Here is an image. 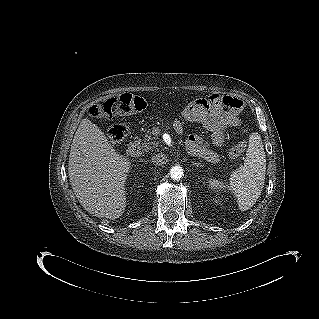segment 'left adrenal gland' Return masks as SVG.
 I'll use <instances>...</instances> for the list:
<instances>
[{
  "label": "left adrenal gland",
  "mask_w": 319,
  "mask_h": 319,
  "mask_svg": "<svg viewBox=\"0 0 319 319\" xmlns=\"http://www.w3.org/2000/svg\"><path fill=\"white\" fill-rule=\"evenodd\" d=\"M192 165H193V166H196V167H199V166H200L199 163H194V162H192Z\"/></svg>",
  "instance_id": "1"
}]
</instances>
